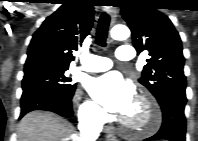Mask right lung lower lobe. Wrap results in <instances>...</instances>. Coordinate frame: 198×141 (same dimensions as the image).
<instances>
[{
	"mask_svg": "<svg viewBox=\"0 0 198 141\" xmlns=\"http://www.w3.org/2000/svg\"><path fill=\"white\" fill-rule=\"evenodd\" d=\"M72 97L73 94L63 95L57 91L46 88L23 90L20 118L34 110L51 111L63 117H71L73 115Z\"/></svg>",
	"mask_w": 198,
	"mask_h": 141,
	"instance_id": "1",
	"label": "right lung lower lobe"
}]
</instances>
